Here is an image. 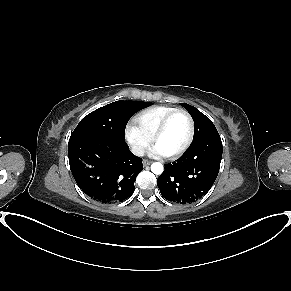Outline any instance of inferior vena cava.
I'll return each mask as SVG.
<instances>
[{
    "label": "inferior vena cava",
    "mask_w": 291,
    "mask_h": 291,
    "mask_svg": "<svg viewBox=\"0 0 291 291\" xmlns=\"http://www.w3.org/2000/svg\"><path fill=\"white\" fill-rule=\"evenodd\" d=\"M131 151L136 156H144V154H145L144 147H142L140 145H134V146H132Z\"/></svg>",
    "instance_id": "602c4592"
}]
</instances>
